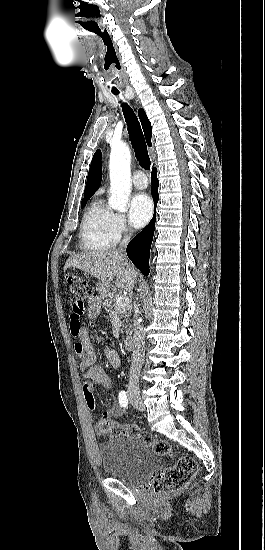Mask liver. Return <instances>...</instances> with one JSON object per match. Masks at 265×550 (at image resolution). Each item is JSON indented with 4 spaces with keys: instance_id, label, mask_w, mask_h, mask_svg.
<instances>
[{
    "instance_id": "liver-1",
    "label": "liver",
    "mask_w": 265,
    "mask_h": 550,
    "mask_svg": "<svg viewBox=\"0 0 265 550\" xmlns=\"http://www.w3.org/2000/svg\"><path fill=\"white\" fill-rule=\"evenodd\" d=\"M69 267H76L96 277L100 283L98 290L105 297L110 292L114 277L116 288L128 292L132 291L137 277L134 266L117 251L80 253L66 261L64 270Z\"/></svg>"
}]
</instances>
